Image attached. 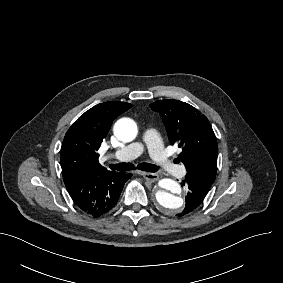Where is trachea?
<instances>
[{"mask_svg":"<svg viewBox=\"0 0 283 283\" xmlns=\"http://www.w3.org/2000/svg\"><path fill=\"white\" fill-rule=\"evenodd\" d=\"M109 167L112 170H118V171H129V170L136 169V167L132 163L110 164ZM137 169L146 171V172H156L159 169V167L151 163H140L137 166Z\"/></svg>","mask_w":283,"mask_h":283,"instance_id":"trachea-1","label":"trachea"}]
</instances>
